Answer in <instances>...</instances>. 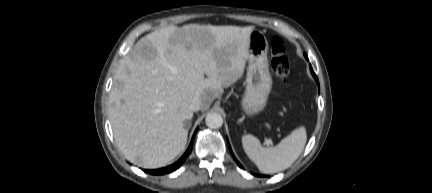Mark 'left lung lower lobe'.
<instances>
[{"label": "left lung lower lobe", "mask_w": 432, "mask_h": 193, "mask_svg": "<svg viewBox=\"0 0 432 193\" xmlns=\"http://www.w3.org/2000/svg\"><path fill=\"white\" fill-rule=\"evenodd\" d=\"M305 58L306 59H308L307 58V56H306V54H305ZM310 70H311V73H312V75H313V77L315 78V80H316V82L318 83V86H319V81H318V78H317V76H316V74L314 73V71H313V69H312V66L310 65ZM229 149H230V151H231V154H232V156L234 157V159H235V161H236V163L239 165V167H241V168H243L242 167V165L238 162V160L235 158V156H234V154H233V152H232V150H231V147H230V145H229Z\"/></svg>", "instance_id": "obj_1"}]
</instances>
